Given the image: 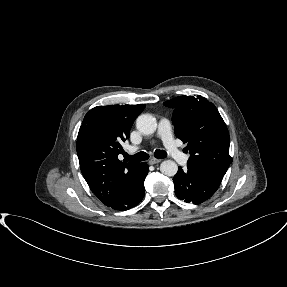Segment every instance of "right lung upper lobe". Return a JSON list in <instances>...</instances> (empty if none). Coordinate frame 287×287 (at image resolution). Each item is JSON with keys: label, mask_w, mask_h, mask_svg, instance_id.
<instances>
[{"label": "right lung upper lobe", "mask_w": 287, "mask_h": 287, "mask_svg": "<svg viewBox=\"0 0 287 287\" xmlns=\"http://www.w3.org/2000/svg\"><path fill=\"white\" fill-rule=\"evenodd\" d=\"M144 104L97 106L84 117L76 150L81 172L91 191L107 204L131 177L140 163H122L118 155L121 143L130 135Z\"/></svg>", "instance_id": "cb5924a9"}]
</instances>
